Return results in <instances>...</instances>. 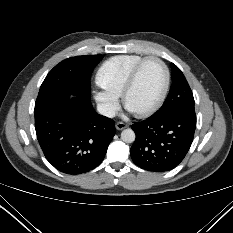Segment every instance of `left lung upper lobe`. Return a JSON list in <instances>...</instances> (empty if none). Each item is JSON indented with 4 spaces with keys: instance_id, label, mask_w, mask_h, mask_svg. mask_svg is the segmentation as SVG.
I'll return each instance as SVG.
<instances>
[{
    "instance_id": "obj_1",
    "label": "left lung upper lobe",
    "mask_w": 233,
    "mask_h": 233,
    "mask_svg": "<svg viewBox=\"0 0 233 233\" xmlns=\"http://www.w3.org/2000/svg\"><path fill=\"white\" fill-rule=\"evenodd\" d=\"M171 67L173 81L172 86L168 97L162 107L153 115L154 117H161L170 112L181 109L194 110L193 94L185 76L175 64L171 63Z\"/></svg>"
}]
</instances>
